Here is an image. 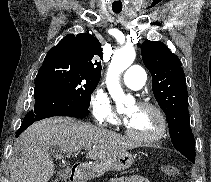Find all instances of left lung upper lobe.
I'll use <instances>...</instances> for the list:
<instances>
[{
  "label": "left lung upper lobe",
  "mask_w": 211,
  "mask_h": 182,
  "mask_svg": "<svg viewBox=\"0 0 211 182\" xmlns=\"http://www.w3.org/2000/svg\"><path fill=\"white\" fill-rule=\"evenodd\" d=\"M141 54L152 75L154 96L166 115L171 142L177 151L195 163V142L181 61L160 41H144Z\"/></svg>",
  "instance_id": "left-lung-upper-lobe-1"
}]
</instances>
